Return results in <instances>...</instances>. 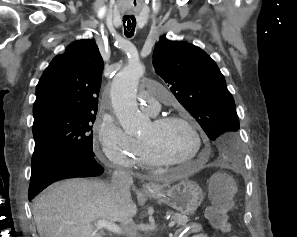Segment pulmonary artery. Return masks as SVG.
I'll list each match as a JSON object with an SVG mask.
<instances>
[{"mask_svg": "<svg viewBox=\"0 0 297 237\" xmlns=\"http://www.w3.org/2000/svg\"><path fill=\"white\" fill-rule=\"evenodd\" d=\"M164 92L165 90L157 88L156 86H145L139 94L140 106L146 109L149 113H155L159 109L160 103L170 101V99L163 95Z\"/></svg>", "mask_w": 297, "mask_h": 237, "instance_id": "obj_1", "label": "pulmonary artery"}]
</instances>
